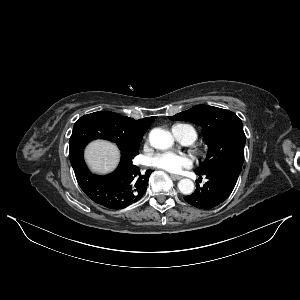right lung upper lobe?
<instances>
[{"mask_svg":"<svg viewBox=\"0 0 300 300\" xmlns=\"http://www.w3.org/2000/svg\"><path fill=\"white\" fill-rule=\"evenodd\" d=\"M97 114L111 124L114 134L130 142L142 140L144 133L155 119L146 117L135 120L110 111H100Z\"/></svg>","mask_w":300,"mask_h":300,"instance_id":"obj_1","label":"right lung upper lobe"}]
</instances>
